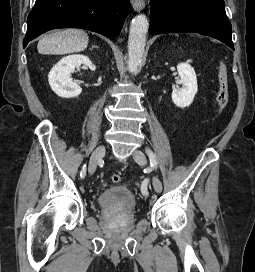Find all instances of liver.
Wrapping results in <instances>:
<instances>
[{"label":"liver","mask_w":255,"mask_h":272,"mask_svg":"<svg viewBox=\"0 0 255 272\" xmlns=\"http://www.w3.org/2000/svg\"><path fill=\"white\" fill-rule=\"evenodd\" d=\"M88 35L79 29L57 31L42 37L37 45L40 54L59 55L80 52L88 46Z\"/></svg>","instance_id":"1"}]
</instances>
